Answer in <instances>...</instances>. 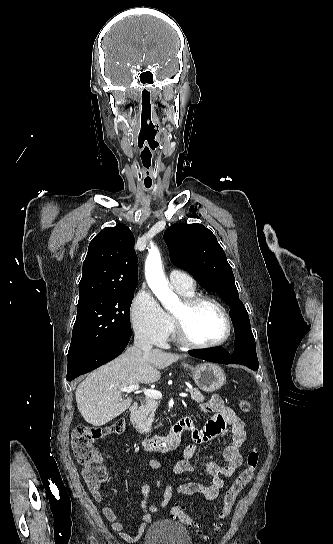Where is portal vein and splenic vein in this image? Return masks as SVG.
Listing matches in <instances>:
<instances>
[{
    "label": "portal vein and splenic vein",
    "instance_id": "obj_1",
    "mask_svg": "<svg viewBox=\"0 0 333 544\" xmlns=\"http://www.w3.org/2000/svg\"><path fill=\"white\" fill-rule=\"evenodd\" d=\"M138 389H139V385H132V386H128V387H122L121 391L126 392V393H130V392L136 391ZM141 391L149 398L159 399V398L162 397V393L157 391V390H151V389L143 388ZM179 395H180V397H183V398L188 397V395L186 393H180Z\"/></svg>",
    "mask_w": 333,
    "mask_h": 544
}]
</instances>
